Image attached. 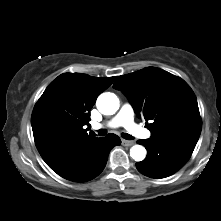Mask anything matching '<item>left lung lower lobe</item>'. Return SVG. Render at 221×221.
Here are the masks:
<instances>
[{
	"label": "left lung lower lobe",
	"mask_w": 221,
	"mask_h": 221,
	"mask_svg": "<svg viewBox=\"0 0 221 221\" xmlns=\"http://www.w3.org/2000/svg\"><path fill=\"white\" fill-rule=\"evenodd\" d=\"M199 137L177 136L145 139L137 143L147 149L146 158L136 163L139 172L150 178H165L178 171L190 158Z\"/></svg>",
	"instance_id": "left-lung-lower-lobe-1"
}]
</instances>
